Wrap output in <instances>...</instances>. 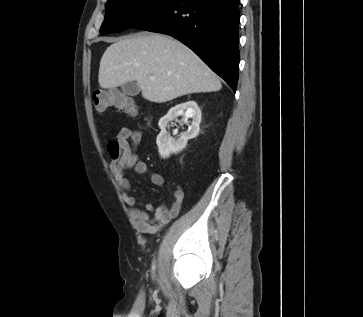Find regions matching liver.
<instances>
[{
  "label": "liver",
  "mask_w": 363,
  "mask_h": 317,
  "mask_svg": "<svg viewBox=\"0 0 363 317\" xmlns=\"http://www.w3.org/2000/svg\"><path fill=\"white\" fill-rule=\"evenodd\" d=\"M149 76L156 79L151 81ZM136 81L144 99L164 103L177 97L222 88L217 75L187 46L166 35L138 33L118 40L104 52L101 88Z\"/></svg>",
  "instance_id": "6515ba94"
}]
</instances>
